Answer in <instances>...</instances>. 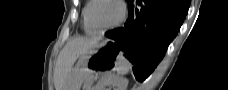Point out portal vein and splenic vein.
<instances>
[{"label": "portal vein and splenic vein", "mask_w": 228, "mask_h": 90, "mask_svg": "<svg viewBox=\"0 0 228 90\" xmlns=\"http://www.w3.org/2000/svg\"><path fill=\"white\" fill-rule=\"evenodd\" d=\"M97 78H98L97 76L94 77L95 80H97Z\"/></svg>", "instance_id": "portal-vein-and-splenic-vein-1"}]
</instances>
